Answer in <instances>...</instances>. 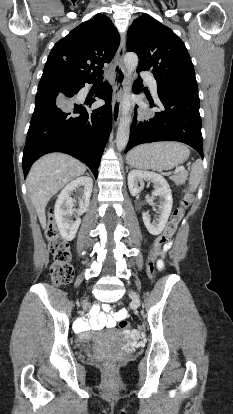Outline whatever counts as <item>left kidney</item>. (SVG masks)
Masks as SVG:
<instances>
[{
  "instance_id": "left-kidney-1",
  "label": "left kidney",
  "mask_w": 233,
  "mask_h": 414,
  "mask_svg": "<svg viewBox=\"0 0 233 414\" xmlns=\"http://www.w3.org/2000/svg\"><path fill=\"white\" fill-rule=\"evenodd\" d=\"M149 181L153 183V196H159V218L157 222H150V217L147 213H142L143 222L152 235H159L169 218L171 213L173 199L171 189L167 181L159 174L149 171L131 170L128 174V187L132 196H137L141 188L138 186L139 182Z\"/></svg>"
}]
</instances>
